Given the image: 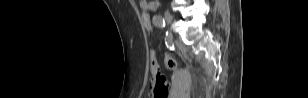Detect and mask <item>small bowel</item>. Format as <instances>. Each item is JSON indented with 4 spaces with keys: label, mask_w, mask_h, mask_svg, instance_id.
I'll use <instances>...</instances> for the list:
<instances>
[{
    "label": "small bowel",
    "mask_w": 308,
    "mask_h": 98,
    "mask_svg": "<svg viewBox=\"0 0 308 98\" xmlns=\"http://www.w3.org/2000/svg\"><path fill=\"white\" fill-rule=\"evenodd\" d=\"M139 6H140L141 9H145V10H149V11H154V10H156L158 8V2L157 1L141 0V1H139Z\"/></svg>",
    "instance_id": "c3829d8e"
}]
</instances>
